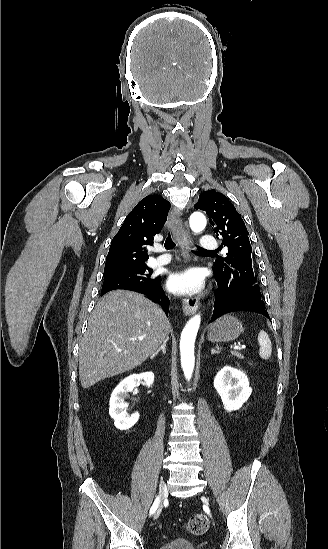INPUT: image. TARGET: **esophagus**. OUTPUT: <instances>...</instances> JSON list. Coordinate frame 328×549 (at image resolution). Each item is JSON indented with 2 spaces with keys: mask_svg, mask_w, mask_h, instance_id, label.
Masks as SVG:
<instances>
[{
  "mask_svg": "<svg viewBox=\"0 0 328 549\" xmlns=\"http://www.w3.org/2000/svg\"><path fill=\"white\" fill-rule=\"evenodd\" d=\"M167 225L170 228L173 237L177 240L179 246L181 247L184 258H188V251L191 248V242L188 238V231L182 220L177 217L173 211H171L168 217ZM198 307L199 301L196 297L188 295L182 299V309L185 315H193Z\"/></svg>",
  "mask_w": 328,
  "mask_h": 549,
  "instance_id": "1",
  "label": "esophagus"
}]
</instances>
